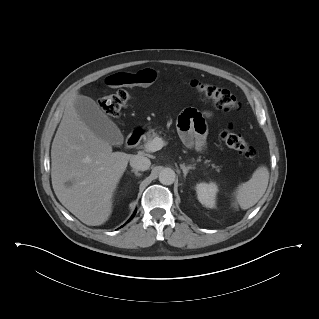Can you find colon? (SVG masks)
Here are the masks:
<instances>
[{
    "label": "colon",
    "mask_w": 319,
    "mask_h": 319,
    "mask_svg": "<svg viewBox=\"0 0 319 319\" xmlns=\"http://www.w3.org/2000/svg\"><path fill=\"white\" fill-rule=\"evenodd\" d=\"M109 81L121 87H127L139 82V80H133L129 75L124 74H116L110 77ZM190 85L220 110L233 111L239 107V103L234 94L225 88L200 82H191ZM129 99V92L124 88H120L115 93L102 97L99 104L107 115L118 117L127 107ZM221 139L228 147L238 151L247 159L253 160L256 157V149L239 134L234 132L231 127L221 132Z\"/></svg>",
    "instance_id": "colon-1"
}]
</instances>
